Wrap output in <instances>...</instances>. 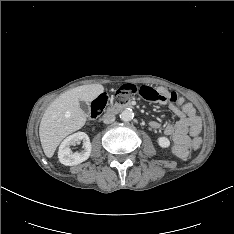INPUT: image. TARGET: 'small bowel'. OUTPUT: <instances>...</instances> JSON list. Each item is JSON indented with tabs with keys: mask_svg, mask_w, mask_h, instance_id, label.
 I'll list each match as a JSON object with an SVG mask.
<instances>
[{
	"mask_svg": "<svg viewBox=\"0 0 234 234\" xmlns=\"http://www.w3.org/2000/svg\"><path fill=\"white\" fill-rule=\"evenodd\" d=\"M157 92L159 98L155 102L169 105V109L177 116V120L166 125L151 120L148 125L152 129L163 128L164 134L171 140L173 153L177 157L184 158L200 133L201 120L194 106L186 102L183 97L178 96L175 91L160 89Z\"/></svg>",
	"mask_w": 234,
	"mask_h": 234,
	"instance_id": "small-bowel-1",
	"label": "small bowel"
}]
</instances>
